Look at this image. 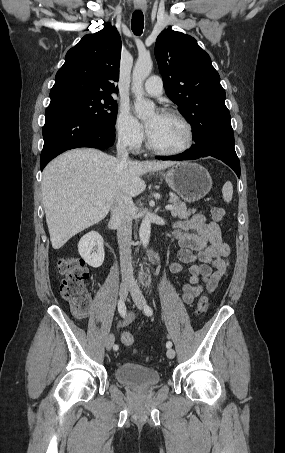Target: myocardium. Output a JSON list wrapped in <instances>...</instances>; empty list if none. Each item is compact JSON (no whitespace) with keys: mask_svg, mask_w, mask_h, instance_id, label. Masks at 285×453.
I'll use <instances>...</instances> for the list:
<instances>
[{"mask_svg":"<svg viewBox=\"0 0 285 453\" xmlns=\"http://www.w3.org/2000/svg\"><path fill=\"white\" fill-rule=\"evenodd\" d=\"M160 114L164 115V116H168V117H173L184 125V127L186 128V131H187L186 144L184 146H182L181 148L174 149V150L163 149V148L156 146L153 143V141L151 140V138L147 132L146 143H147L148 149L156 154L165 155V156H178V155L184 154L187 151H189L195 142L194 129H193L191 123L182 114H180L179 112L172 110V109H164L161 111Z\"/></svg>","mask_w":285,"mask_h":453,"instance_id":"obj_1","label":"myocardium"}]
</instances>
